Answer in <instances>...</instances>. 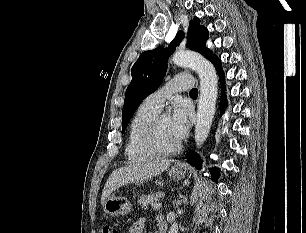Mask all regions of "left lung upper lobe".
I'll use <instances>...</instances> for the list:
<instances>
[{
    "label": "left lung upper lobe",
    "instance_id": "left-lung-upper-lobe-1",
    "mask_svg": "<svg viewBox=\"0 0 306 233\" xmlns=\"http://www.w3.org/2000/svg\"><path fill=\"white\" fill-rule=\"evenodd\" d=\"M183 37V32L179 31L167 49L158 47L146 51L139 56L133 65L131 70L132 80L126 90L122 110V132L125 131L139 104L161 84L167 70V58L174 52ZM207 39V28L200 25L199 18L194 17L189 24L187 46L212 61L216 55L206 48L205 42Z\"/></svg>",
    "mask_w": 306,
    "mask_h": 233
}]
</instances>
